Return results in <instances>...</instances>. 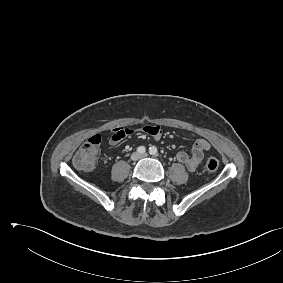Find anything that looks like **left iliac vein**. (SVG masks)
<instances>
[{"label":"left iliac vein","instance_id":"4c4485c4","mask_svg":"<svg viewBox=\"0 0 283 283\" xmlns=\"http://www.w3.org/2000/svg\"><path fill=\"white\" fill-rule=\"evenodd\" d=\"M147 156H148L147 153H143V154L140 155V158H146Z\"/></svg>","mask_w":283,"mask_h":283}]
</instances>
